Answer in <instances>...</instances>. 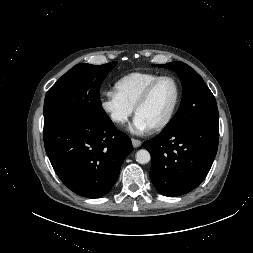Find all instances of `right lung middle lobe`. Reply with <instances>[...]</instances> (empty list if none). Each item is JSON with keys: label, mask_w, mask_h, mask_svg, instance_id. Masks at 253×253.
<instances>
[{"label": "right lung middle lobe", "mask_w": 253, "mask_h": 253, "mask_svg": "<svg viewBox=\"0 0 253 253\" xmlns=\"http://www.w3.org/2000/svg\"><path fill=\"white\" fill-rule=\"evenodd\" d=\"M117 62L103 65L77 64L47 92L44 101V126L57 121L105 117L99 90L104 78Z\"/></svg>", "instance_id": "obj_1"}]
</instances>
